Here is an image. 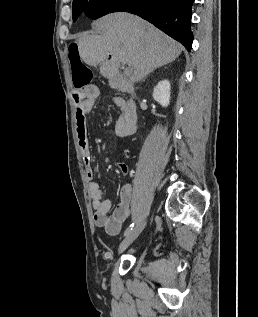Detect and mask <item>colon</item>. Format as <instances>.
I'll return each mask as SVG.
<instances>
[{"mask_svg":"<svg viewBox=\"0 0 258 317\" xmlns=\"http://www.w3.org/2000/svg\"><path fill=\"white\" fill-rule=\"evenodd\" d=\"M67 55L71 67L72 80L76 88L88 86L93 79V72L86 64L83 63L79 45L72 42L67 47Z\"/></svg>","mask_w":258,"mask_h":317,"instance_id":"5ec220e1","label":"colon"}]
</instances>
